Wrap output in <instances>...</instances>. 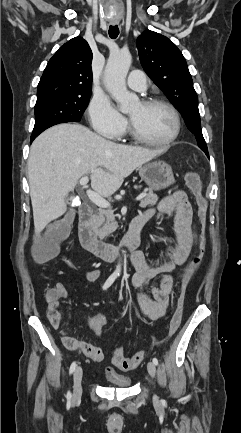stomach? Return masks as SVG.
<instances>
[{
    "mask_svg": "<svg viewBox=\"0 0 241 433\" xmlns=\"http://www.w3.org/2000/svg\"><path fill=\"white\" fill-rule=\"evenodd\" d=\"M139 175L151 191L165 189L175 183L172 167L164 161H154L140 166Z\"/></svg>",
    "mask_w": 241,
    "mask_h": 433,
    "instance_id": "stomach-1",
    "label": "stomach"
}]
</instances>
